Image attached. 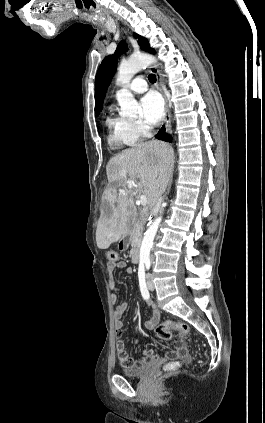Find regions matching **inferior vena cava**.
<instances>
[{"mask_svg": "<svg viewBox=\"0 0 265 423\" xmlns=\"http://www.w3.org/2000/svg\"><path fill=\"white\" fill-rule=\"evenodd\" d=\"M161 201H162V198L160 197V198L158 199L157 203H156V207H157V209H159V208H160Z\"/></svg>", "mask_w": 265, "mask_h": 423, "instance_id": "inferior-vena-cava-1", "label": "inferior vena cava"}]
</instances>
